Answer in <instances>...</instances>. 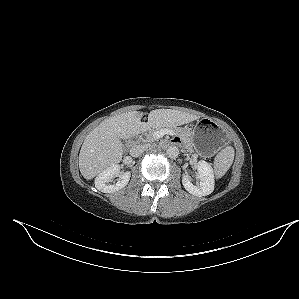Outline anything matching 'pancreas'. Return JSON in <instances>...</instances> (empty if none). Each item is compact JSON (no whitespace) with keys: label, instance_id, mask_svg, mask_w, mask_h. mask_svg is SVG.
Segmentation results:
<instances>
[{"label":"pancreas","instance_id":"pancreas-1","mask_svg":"<svg viewBox=\"0 0 299 299\" xmlns=\"http://www.w3.org/2000/svg\"><path fill=\"white\" fill-rule=\"evenodd\" d=\"M161 130V129H159ZM170 130L174 131L177 134H180L183 138L189 139L190 130L187 128L179 129V128H170ZM155 130H149L147 133H145V141L148 143L156 141L154 137Z\"/></svg>","mask_w":299,"mask_h":299}]
</instances>
